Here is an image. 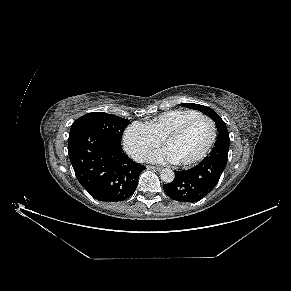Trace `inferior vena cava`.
<instances>
[{"label": "inferior vena cava", "mask_w": 291, "mask_h": 291, "mask_svg": "<svg viewBox=\"0 0 291 291\" xmlns=\"http://www.w3.org/2000/svg\"><path fill=\"white\" fill-rule=\"evenodd\" d=\"M133 158L135 161L142 162L144 159V156L142 153H136L134 154Z\"/></svg>", "instance_id": "1"}]
</instances>
